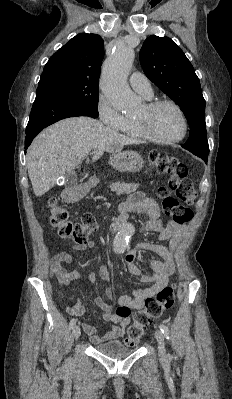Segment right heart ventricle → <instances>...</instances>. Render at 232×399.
<instances>
[{
	"label": "right heart ventricle",
	"instance_id": "obj_1",
	"mask_svg": "<svg viewBox=\"0 0 232 399\" xmlns=\"http://www.w3.org/2000/svg\"><path fill=\"white\" fill-rule=\"evenodd\" d=\"M151 97L147 98L150 99ZM117 131L125 138L137 142H144L146 139L139 132L134 119L126 118L122 126Z\"/></svg>",
	"mask_w": 232,
	"mask_h": 399
}]
</instances>
